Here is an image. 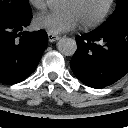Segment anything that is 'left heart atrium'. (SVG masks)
Segmentation results:
<instances>
[{
    "label": "left heart atrium",
    "mask_w": 128,
    "mask_h": 128,
    "mask_svg": "<svg viewBox=\"0 0 128 128\" xmlns=\"http://www.w3.org/2000/svg\"><path fill=\"white\" fill-rule=\"evenodd\" d=\"M33 23L37 29L45 30L52 34L67 32L79 25V21L72 11L40 13L35 16Z\"/></svg>",
    "instance_id": "1"
}]
</instances>
